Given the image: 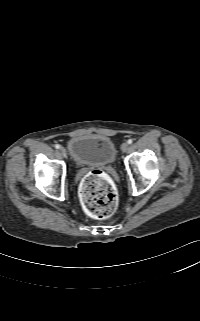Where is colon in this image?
<instances>
[{"instance_id":"colon-1","label":"colon","mask_w":200,"mask_h":321,"mask_svg":"<svg viewBox=\"0 0 200 321\" xmlns=\"http://www.w3.org/2000/svg\"><path fill=\"white\" fill-rule=\"evenodd\" d=\"M80 194L86 212L94 218H108L117 208L115 189L107 175L100 170L91 171L85 176Z\"/></svg>"}]
</instances>
